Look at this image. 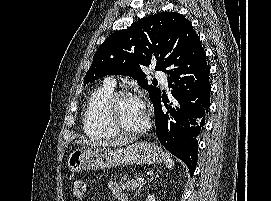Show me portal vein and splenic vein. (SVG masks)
Returning <instances> with one entry per match:
<instances>
[{"mask_svg":"<svg viewBox=\"0 0 271 201\" xmlns=\"http://www.w3.org/2000/svg\"><path fill=\"white\" fill-rule=\"evenodd\" d=\"M137 181L138 182H144L145 180H144V178H138Z\"/></svg>","mask_w":271,"mask_h":201,"instance_id":"18ae733b","label":"portal vein and splenic vein"}]
</instances>
